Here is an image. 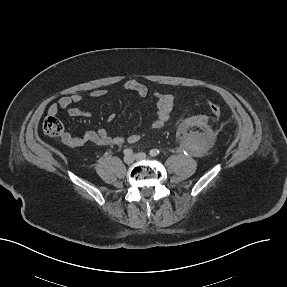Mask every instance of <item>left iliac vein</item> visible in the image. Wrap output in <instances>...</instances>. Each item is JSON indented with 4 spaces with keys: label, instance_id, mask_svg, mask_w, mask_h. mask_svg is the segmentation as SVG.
Instances as JSON below:
<instances>
[{
    "label": "left iliac vein",
    "instance_id": "left-iliac-vein-1",
    "mask_svg": "<svg viewBox=\"0 0 287 287\" xmlns=\"http://www.w3.org/2000/svg\"><path fill=\"white\" fill-rule=\"evenodd\" d=\"M133 157L135 160H143L146 159L147 155L146 153H137Z\"/></svg>",
    "mask_w": 287,
    "mask_h": 287
}]
</instances>
